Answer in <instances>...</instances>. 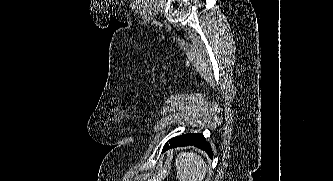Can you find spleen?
I'll list each match as a JSON object with an SVG mask.
<instances>
[{
  "label": "spleen",
  "mask_w": 333,
  "mask_h": 181,
  "mask_svg": "<svg viewBox=\"0 0 333 181\" xmlns=\"http://www.w3.org/2000/svg\"><path fill=\"white\" fill-rule=\"evenodd\" d=\"M179 181H203L208 171L204 159L193 152H181L175 163Z\"/></svg>",
  "instance_id": "3e777b00"
}]
</instances>
